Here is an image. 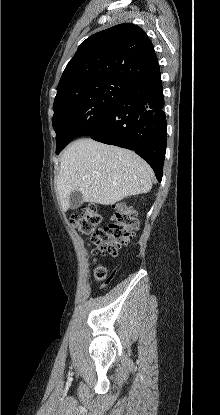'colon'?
Wrapping results in <instances>:
<instances>
[{
    "mask_svg": "<svg viewBox=\"0 0 220 415\" xmlns=\"http://www.w3.org/2000/svg\"><path fill=\"white\" fill-rule=\"evenodd\" d=\"M69 222L75 230L90 237L95 251L100 254L116 255L138 229L135 211L124 203L114 206L111 221L104 228H100L103 215L94 205H87L81 213L70 216ZM94 276L97 281L105 280L107 269L97 267Z\"/></svg>",
    "mask_w": 220,
    "mask_h": 415,
    "instance_id": "1",
    "label": "colon"
}]
</instances>
